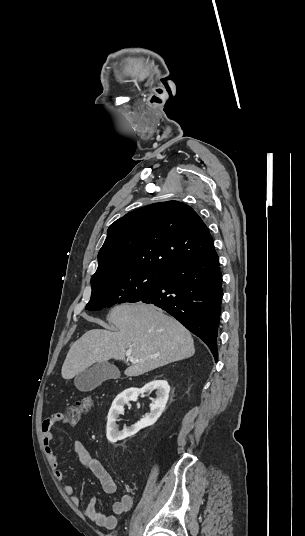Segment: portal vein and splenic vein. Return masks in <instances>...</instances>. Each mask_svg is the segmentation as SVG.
<instances>
[{
	"instance_id": "18ae733b",
	"label": "portal vein and splenic vein",
	"mask_w": 305,
	"mask_h": 536,
	"mask_svg": "<svg viewBox=\"0 0 305 536\" xmlns=\"http://www.w3.org/2000/svg\"><path fill=\"white\" fill-rule=\"evenodd\" d=\"M126 356H127L128 360H129V362H132V364H137V362H140V360H135V358H131L130 352H127Z\"/></svg>"
}]
</instances>
